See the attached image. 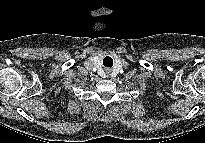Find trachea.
I'll return each instance as SVG.
<instances>
[{
    "instance_id": "1",
    "label": "trachea",
    "mask_w": 205,
    "mask_h": 143,
    "mask_svg": "<svg viewBox=\"0 0 205 143\" xmlns=\"http://www.w3.org/2000/svg\"><path fill=\"white\" fill-rule=\"evenodd\" d=\"M103 64L105 66L111 67L112 66V59L110 57L105 58V60L103 61Z\"/></svg>"
}]
</instances>
